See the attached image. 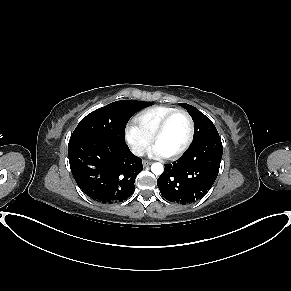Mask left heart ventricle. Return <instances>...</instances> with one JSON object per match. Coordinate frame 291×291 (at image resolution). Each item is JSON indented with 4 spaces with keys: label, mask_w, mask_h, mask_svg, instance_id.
I'll return each instance as SVG.
<instances>
[{
    "label": "left heart ventricle",
    "mask_w": 291,
    "mask_h": 291,
    "mask_svg": "<svg viewBox=\"0 0 291 291\" xmlns=\"http://www.w3.org/2000/svg\"><path fill=\"white\" fill-rule=\"evenodd\" d=\"M189 135V123L187 118L178 114L175 115L167 125L166 130L156 142V146L165 155L177 152L187 141Z\"/></svg>",
    "instance_id": "1"
}]
</instances>
